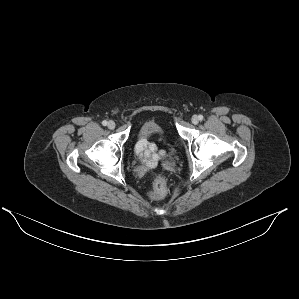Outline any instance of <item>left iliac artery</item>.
<instances>
[{"instance_id":"obj_1","label":"left iliac artery","mask_w":299,"mask_h":299,"mask_svg":"<svg viewBox=\"0 0 299 299\" xmlns=\"http://www.w3.org/2000/svg\"><path fill=\"white\" fill-rule=\"evenodd\" d=\"M198 118L200 121H202L204 117H203V115H199Z\"/></svg>"}]
</instances>
